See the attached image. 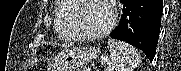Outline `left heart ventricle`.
I'll list each match as a JSON object with an SVG mask.
<instances>
[{"mask_svg":"<svg viewBox=\"0 0 181 71\" xmlns=\"http://www.w3.org/2000/svg\"><path fill=\"white\" fill-rule=\"evenodd\" d=\"M81 11L77 25L81 31L95 33L103 30L110 22V12L100 0H80Z\"/></svg>","mask_w":181,"mask_h":71,"instance_id":"obj_1","label":"left heart ventricle"}]
</instances>
